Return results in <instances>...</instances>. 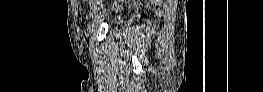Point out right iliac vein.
I'll return each mask as SVG.
<instances>
[{
    "instance_id": "1",
    "label": "right iliac vein",
    "mask_w": 263,
    "mask_h": 92,
    "mask_svg": "<svg viewBox=\"0 0 263 92\" xmlns=\"http://www.w3.org/2000/svg\"><path fill=\"white\" fill-rule=\"evenodd\" d=\"M91 5H92V8H91L90 14L93 16L94 14H96V12H97V10H98V7H97V6H100V5H101V0H94ZM93 27H94V25H93V24H90V25L88 26V29L91 31V30H93Z\"/></svg>"
}]
</instances>
